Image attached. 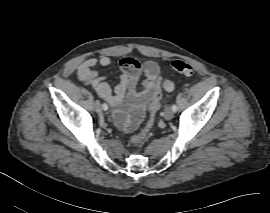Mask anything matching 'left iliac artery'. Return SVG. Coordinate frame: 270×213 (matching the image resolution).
I'll use <instances>...</instances> for the list:
<instances>
[{
	"label": "left iliac artery",
	"instance_id": "44dca946",
	"mask_svg": "<svg viewBox=\"0 0 270 213\" xmlns=\"http://www.w3.org/2000/svg\"><path fill=\"white\" fill-rule=\"evenodd\" d=\"M171 109L173 112H176L178 110V107L175 104H173Z\"/></svg>",
	"mask_w": 270,
	"mask_h": 213
}]
</instances>
